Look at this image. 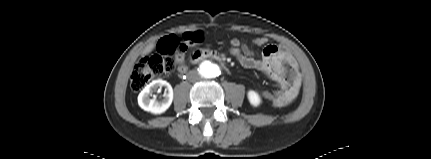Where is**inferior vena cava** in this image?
Returning <instances> with one entry per match:
<instances>
[{
	"label": "inferior vena cava",
	"mask_w": 431,
	"mask_h": 159,
	"mask_svg": "<svg viewBox=\"0 0 431 159\" xmlns=\"http://www.w3.org/2000/svg\"><path fill=\"white\" fill-rule=\"evenodd\" d=\"M189 79L191 81H197L200 79L199 75L196 72H190L189 73Z\"/></svg>",
	"instance_id": "1"
}]
</instances>
